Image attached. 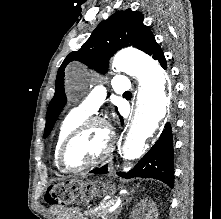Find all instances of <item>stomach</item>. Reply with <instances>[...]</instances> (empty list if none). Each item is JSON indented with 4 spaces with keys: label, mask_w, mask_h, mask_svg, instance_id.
Returning <instances> with one entry per match:
<instances>
[{
    "label": "stomach",
    "mask_w": 221,
    "mask_h": 219,
    "mask_svg": "<svg viewBox=\"0 0 221 219\" xmlns=\"http://www.w3.org/2000/svg\"><path fill=\"white\" fill-rule=\"evenodd\" d=\"M101 178H68V183H76L65 199H72V204H91L92 199L101 195H112L115 186L111 182H101Z\"/></svg>",
    "instance_id": "1"
}]
</instances>
